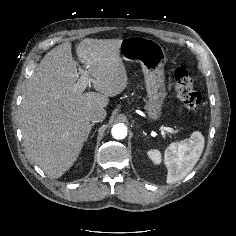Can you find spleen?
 I'll use <instances>...</instances> for the list:
<instances>
[{
	"mask_svg": "<svg viewBox=\"0 0 236 236\" xmlns=\"http://www.w3.org/2000/svg\"><path fill=\"white\" fill-rule=\"evenodd\" d=\"M204 136L199 131L181 142L171 143L165 150L164 162L168 168L166 182L171 184L183 179L195 166L204 149ZM149 158L156 164L161 163L159 150L148 151Z\"/></svg>",
	"mask_w": 236,
	"mask_h": 236,
	"instance_id": "obj_1",
	"label": "spleen"
}]
</instances>
